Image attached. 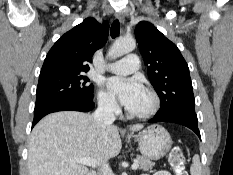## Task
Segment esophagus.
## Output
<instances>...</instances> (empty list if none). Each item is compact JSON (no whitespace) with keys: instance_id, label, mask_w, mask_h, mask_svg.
I'll list each match as a JSON object with an SVG mask.
<instances>
[{"instance_id":"1","label":"esophagus","mask_w":233,"mask_h":175,"mask_svg":"<svg viewBox=\"0 0 233 175\" xmlns=\"http://www.w3.org/2000/svg\"><path fill=\"white\" fill-rule=\"evenodd\" d=\"M115 17L120 21V22H124V15L122 12H116L115 13Z\"/></svg>"}]
</instances>
